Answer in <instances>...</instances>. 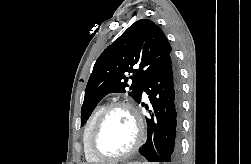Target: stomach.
<instances>
[{
  "label": "stomach",
  "instance_id": "obj_1",
  "mask_svg": "<svg viewBox=\"0 0 251 164\" xmlns=\"http://www.w3.org/2000/svg\"><path fill=\"white\" fill-rule=\"evenodd\" d=\"M128 164H141V163H139V162H135V163H128ZM143 164V163H142Z\"/></svg>",
  "mask_w": 251,
  "mask_h": 164
}]
</instances>
